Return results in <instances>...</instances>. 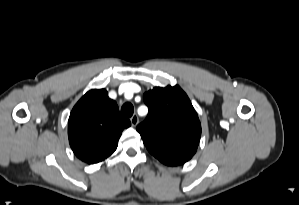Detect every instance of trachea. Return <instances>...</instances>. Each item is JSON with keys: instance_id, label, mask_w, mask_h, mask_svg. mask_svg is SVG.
<instances>
[{"instance_id": "1", "label": "trachea", "mask_w": 299, "mask_h": 205, "mask_svg": "<svg viewBox=\"0 0 299 205\" xmlns=\"http://www.w3.org/2000/svg\"><path fill=\"white\" fill-rule=\"evenodd\" d=\"M134 112V107L131 103H125L121 108V115L123 117H131Z\"/></svg>"}]
</instances>
